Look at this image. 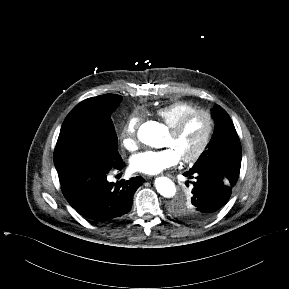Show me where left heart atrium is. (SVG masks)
<instances>
[{
    "label": "left heart atrium",
    "mask_w": 289,
    "mask_h": 289,
    "mask_svg": "<svg viewBox=\"0 0 289 289\" xmlns=\"http://www.w3.org/2000/svg\"><path fill=\"white\" fill-rule=\"evenodd\" d=\"M180 160L179 155L172 147L161 150H147L134 155L130 160L133 171L155 175L165 169L175 166Z\"/></svg>",
    "instance_id": "obj_1"
}]
</instances>
